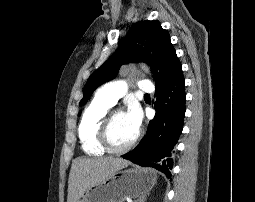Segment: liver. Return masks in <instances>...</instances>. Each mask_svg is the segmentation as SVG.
<instances>
[{
  "instance_id": "6515ba94",
  "label": "liver",
  "mask_w": 255,
  "mask_h": 202,
  "mask_svg": "<svg viewBox=\"0 0 255 202\" xmlns=\"http://www.w3.org/2000/svg\"><path fill=\"white\" fill-rule=\"evenodd\" d=\"M128 164L129 161L115 157L74 160L68 180L67 202H78L88 188L104 181Z\"/></svg>"
}]
</instances>
